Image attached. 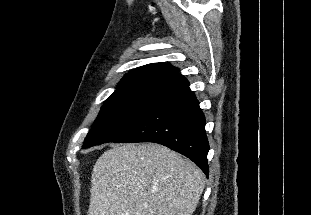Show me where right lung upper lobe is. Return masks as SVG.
Wrapping results in <instances>:
<instances>
[{
    "instance_id": "right-lung-upper-lobe-1",
    "label": "right lung upper lobe",
    "mask_w": 311,
    "mask_h": 215,
    "mask_svg": "<svg viewBox=\"0 0 311 215\" xmlns=\"http://www.w3.org/2000/svg\"><path fill=\"white\" fill-rule=\"evenodd\" d=\"M183 76L177 68L168 63H151L127 73L118 87L136 85H171Z\"/></svg>"
}]
</instances>
